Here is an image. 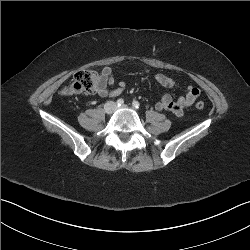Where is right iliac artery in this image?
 Wrapping results in <instances>:
<instances>
[{"instance_id":"1","label":"right iliac artery","mask_w":250,"mask_h":250,"mask_svg":"<svg viewBox=\"0 0 250 250\" xmlns=\"http://www.w3.org/2000/svg\"><path fill=\"white\" fill-rule=\"evenodd\" d=\"M116 103H117V106H122L124 104V100L118 99Z\"/></svg>"}]
</instances>
